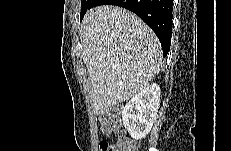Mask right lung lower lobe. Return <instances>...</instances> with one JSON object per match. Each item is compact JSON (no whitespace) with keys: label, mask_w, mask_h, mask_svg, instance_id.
Masks as SVG:
<instances>
[{"label":"right lung lower lobe","mask_w":231,"mask_h":151,"mask_svg":"<svg viewBox=\"0 0 231 151\" xmlns=\"http://www.w3.org/2000/svg\"><path fill=\"white\" fill-rule=\"evenodd\" d=\"M116 5L138 15L157 35L166 56L172 35V0H92L90 8L99 5Z\"/></svg>","instance_id":"1"}]
</instances>
